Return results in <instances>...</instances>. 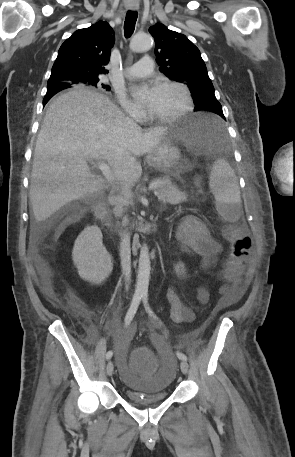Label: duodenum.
I'll use <instances>...</instances> for the list:
<instances>
[{
	"label": "duodenum",
	"mask_w": 295,
	"mask_h": 457,
	"mask_svg": "<svg viewBox=\"0 0 295 457\" xmlns=\"http://www.w3.org/2000/svg\"><path fill=\"white\" fill-rule=\"evenodd\" d=\"M93 213H94L96 220L101 225V227L107 229L108 228L107 211H106V205L103 201H99L94 205Z\"/></svg>",
	"instance_id": "410a0bca"
}]
</instances>
